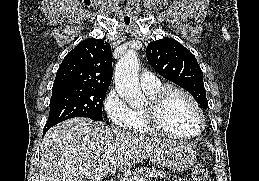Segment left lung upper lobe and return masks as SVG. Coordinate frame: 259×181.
<instances>
[{
  "label": "left lung upper lobe",
  "mask_w": 259,
  "mask_h": 181,
  "mask_svg": "<svg viewBox=\"0 0 259 181\" xmlns=\"http://www.w3.org/2000/svg\"><path fill=\"white\" fill-rule=\"evenodd\" d=\"M146 56L161 76L191 93L202 108L208 107L202 70L188 49L174 39L164 38L151 42Z\"/></svg>",
  "instance_id": "5c2ea615"
}]
</instances>
